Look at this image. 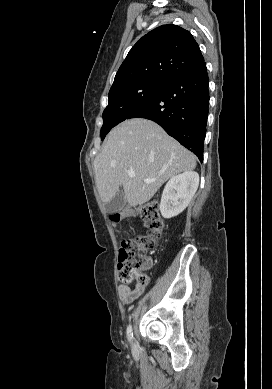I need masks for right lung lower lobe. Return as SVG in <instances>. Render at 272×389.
Here are the masks:
<instances>
[{"label": "right lung lower lobe", "mask_w": 272, "mask_h": 389, "mask_svg": "<svg viewBox=\"0 0 272 389\" xmlns=\"http://www.w3.org/2000/svg\"><path fill=\"white\" fill-rule=\"evenodd\" d=\"M206 63L178 75L128 117L158 123L203 161L209 89Z\"/></svg>", "instance_id": "right-lung-lower-lobe-1"}]
</instances>
